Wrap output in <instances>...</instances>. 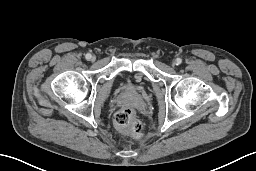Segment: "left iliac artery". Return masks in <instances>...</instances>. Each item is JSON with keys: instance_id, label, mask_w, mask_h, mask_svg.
I'll return each mask as SVG.
<instances>
[{"instance_id": "obj_1", "label": "left iliac artery", "mask_w": 256, "mask_h": 171, "mask_svg": "<svg viewBox=\"0 0 256 171\" xmlns=\"http://www.w3.org/2000/svg\"><path fill=\"white\" fill-rule=\"evenodd\" d=\"M176 62H177V65H179V64L182 63V59H181V58H177V59H176Z\"/></svg>"}]
</instances>
